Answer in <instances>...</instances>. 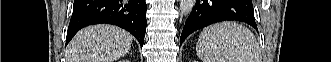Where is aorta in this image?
Masks as SVG:
<instances>
[{
    "instance_id": "aorta-1",
    "label": "aorta",
    "mask_w": 331,
    "mask_h": 62,
    "mask_svg": "<svg viewBox=\"0 0 331 62\" xmlns=\"http://www.w3.org/2000/svg\"><path fill=\"white\" fill-rule=\"evenodd\" d=\"M196 0H180V10L185 16L189 15L195 5Z\"/></svg>"
}]
</instances>
